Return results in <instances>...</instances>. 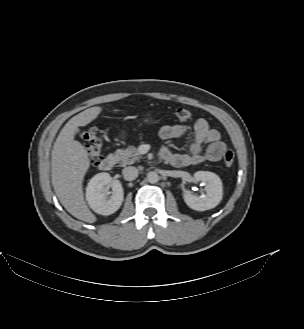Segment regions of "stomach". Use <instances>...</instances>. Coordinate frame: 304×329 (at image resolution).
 <instances>
[{
    "instance_id": "0dacf381",
    "label": "stomach",
    "mask_w": 304,
    "mask_h": 329,
    "mask_svg": "<svg viewBox=\"0 0 304 329\" xmlns=\"http://www.w3.org/2000/svg\"><path fill=\"white\" fill-rule=\"evenodd\" d=\"M144 122H145L146 124H151V123L154 122V119L151 118V117H148V118H146V119L144 120ZM121 135H122V137H124V133H122Z\"/></svg>"
}]
</instances>
